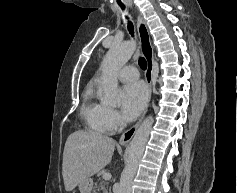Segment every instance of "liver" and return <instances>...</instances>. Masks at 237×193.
<instances>
[{
    "label": "liver",
    "mask_w": 237,
    "mask_h": 193,
    "mask_svg": "<svg viewBox=\"0 0 237 193\" xmlns=\"http://www.w3.org/2000/svg\"><path fill=\"white\" fill-rule=\"evenodd\" d=\"M115 141L97 132L77 130L65 143L62 173L65 190L72 191L110 163Z\"/></svg>",
    "instance_id": "6515ba94"
}]
</instances>
